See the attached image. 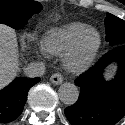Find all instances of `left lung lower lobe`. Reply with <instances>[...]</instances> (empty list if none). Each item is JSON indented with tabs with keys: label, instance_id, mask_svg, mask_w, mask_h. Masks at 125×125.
Here are the masks:
<instances>
[{
	"label": "left lung lower lobe",
	"instance_id": "left-lung-lower-lobe-1",
	"mask_svg": "<svg viewBox=\"0 0 125 125\" xmlns=\"http://www.w3.org/2000/svg\"><path fill=\"white\" fill-rule=\"evenodd\" d=\"M118 63V72L109 82L103 69L111 62ZM75 83L80 87L77 102L65 109L72 125H115L125 116V45L113 47Z\"/></svg>",
	"mask_w": 125,
	"mask_h": 125
}]
</instances>
